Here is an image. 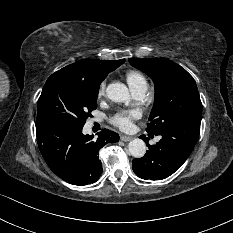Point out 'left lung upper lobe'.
I'll use <instances>...</instances> for the list:
<instances>
[{"label":"left lung upper lobe","instance_id":"5c2ea615","mask_svg":"<svg viewBox=\"0 0 233 233\" xmlns=\"http://www.w3.org/2000/svg\"><path fill=\"white\" fill-rule=\"evenodd\" d=\"M135 68L152 78L155 100L147 132L156 135L179 122L202 116V103L193 77L166 58L129 59Z\"/></svg>","mask_w":233,"mask_h":233}]
</instances>
